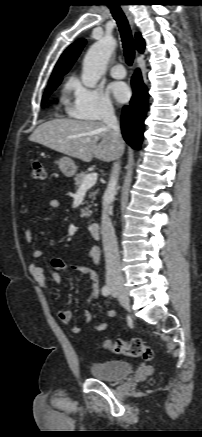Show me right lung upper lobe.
<instances>
[{"mask_svg": "<svg viewBox=\"0 0 202 437\" xmlns=\"http://www.w3.org/2000/svg\"><path fill=\"white\" fill-rule=\"evenodd\" d=\"M85 43V39H80L66 49L55 66L50 78V83L62 79L61 77L69 71L73 63L76 61ZM136 48L140 52H143L145 48V41L140 33L136 34Z\"/></svg>", "mask_w": 202, "mask_h": 437, "instance_id": "obj_1", "label": "right lung upper lobe"}]
</instances>
